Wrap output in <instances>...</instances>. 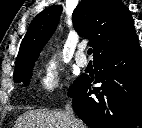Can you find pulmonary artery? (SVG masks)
I'll use <instances>...</instances> for the list:
<instances>
[{
	"label": "pulmonary artery",
	"instance_id": "e3ab8cb5",
	"mask_svg": "<svg viewBox=\"0 0 142 128\" xmlns=\"http://www.w3.org/2000/svg\"><path fill=\"white\" fill-rule=\"evenodd\" d=\"M83 51H84V47L79 46L78 51L76 52V55H75V61L80 67H86L88 64V60Z\"/></svg>",
	"mask_w": 142,
	"mask_h": 128
}]
</instances>
